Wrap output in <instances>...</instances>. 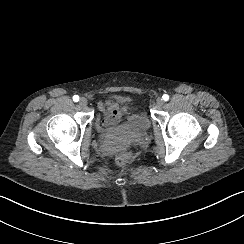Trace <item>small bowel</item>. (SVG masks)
<instances>
[{
	"mask_svg": "<svg viewBox=\"0 0 244 244\" xmlns=\"http://www.w3.org/2000/svg\"><path fill=\"white\" fill-rule=\"evenodd\" d=\"M100 111L109 121H116L121 118L125 109L118 110L112 102H106L100 105Z\"/></svg>",
	"mask_w": 244,
	"mask_h": 244,
	"instance_id": "obj_1",
	"label": "small bowel"
}]
</instances>
